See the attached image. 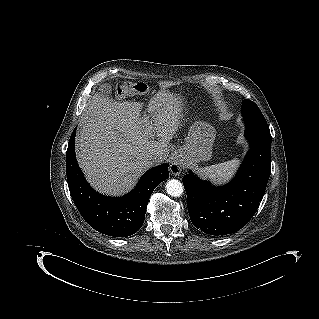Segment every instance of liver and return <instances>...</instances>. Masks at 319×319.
<instances>
[{"label":"liver","mask_w":319,"mask_h":319,"mask_svg":"<svg viewBox=\"0 0 319 319\" xmlns=\"http://www.w3.org/2000/svg\"><path fill=\"white\" fill-rule=\"evenodd\" d=\"M168 86L162 85L149 101L150 122L141 117L139 102H117L101 92L93 96L82 114L75 145L79 166L96 190L124 194L152 166L151 155L167 159L184 110L182 97L166 90Z\"/></svg>","instance_id":"1"}]
</instances>
